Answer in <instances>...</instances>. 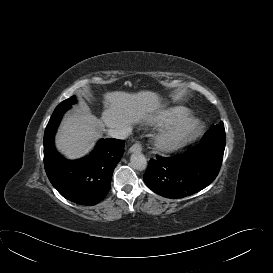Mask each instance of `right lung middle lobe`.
Returning <instances> with one entry per match:
<instances>
[{
    "instance_id": "obj_1",
    "label": "right lung middle lobe",
    "mask_w": 273,
    "mask_h": 273,
    "mask_svg": "<svg viewBox=\"0 0 273 273\" xmlns=\"http://www.w3.org/2000/svg\"><path fill=\"white\" fill-rule=\"evenodd\" d=\"M75 102H76V97L72 96L69 99H66L63 102H61L57 107L66 110V109H69L71 105L74 104Z\"/></svg>"
}]
</instances>
